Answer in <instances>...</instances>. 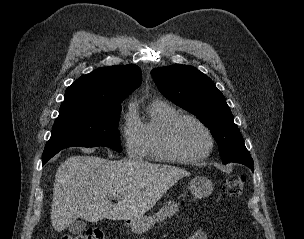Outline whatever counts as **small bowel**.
<instances>
[{"label": "small bowel", "instance_id": "obj_1", "mask_svg": "<svg viewBox=\"0 0 304 239\" xmlns=\"http://www.w3.org/2000/svg\"><path fill=\"white\" fill-rule=\"evenodd\" d=\"M187 239H207V236L203 231L198 230L195 233H193L191 236H189Z\"/></svg>", "mask_w": 304, "mask_h": 239}]
</instances>
